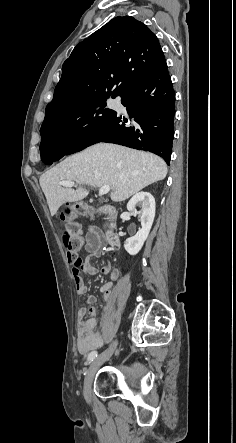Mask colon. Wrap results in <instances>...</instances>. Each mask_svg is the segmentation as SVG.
<instances>
[{
  "instance_id": "colon-1",
  "label": "colon",
  "mask_w": 236,
  "mask_h": 443,
  "mask_svg": "<svg viewBox=\"0 0 236 443\" xmlns=\"http://www.w3.org/2000/svg\"><path fill=\"white\" fill-rule=\"evenodd\" d=\"M88 214V207L84 204L65 205L59 213V221L65 226L64 244L67 259L73 264L72 268L80 269L83 261L80 226L73 219L76 215L87 216Z\"/></svg>"
}]
</instances>
